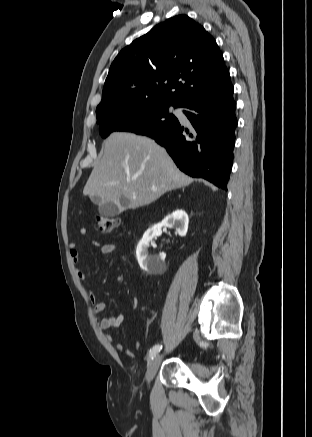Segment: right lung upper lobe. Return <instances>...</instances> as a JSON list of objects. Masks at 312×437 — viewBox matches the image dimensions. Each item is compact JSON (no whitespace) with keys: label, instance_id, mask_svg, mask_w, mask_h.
Wrapping results in <instances>:
<instances>
[{"label":"right lung upper lobe","instance_id":"cb5924a9","mask_svg":"<svg viewBox=\"0 0 312 437\" xmlns=\"http://www.w3.org/2000/svg\"><path fill=\"white\" fill-rule=\"evenodd\" d=\"M228 75L214 38L188 16L172 17L115 58L96 109L97 120L132 104L181 106L217 87Z\"/></svg>","mask_w":312,"mask_h":437}]
</instances>
